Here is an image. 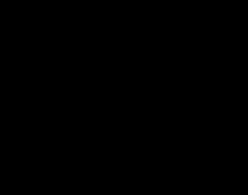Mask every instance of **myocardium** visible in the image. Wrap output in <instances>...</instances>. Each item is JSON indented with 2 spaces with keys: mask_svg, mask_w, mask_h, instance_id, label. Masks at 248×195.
I'll return each mask as SVG.
<instances>
[{
  "mask_svg": "<svg viewBox=\"0 0 248 195\" xmlns=\"http://www.w3.org/2000/svg\"><path fill=\"white\" fill-rule=\"evenodd\" d=\"M176 42V44L179 46L180 50H181V61H180V65L176 71V74L174 76V78L172 79V81L165 87L163 88L161 91L158 92V96L164 95L165 93H167L168 91H170L179 81V79L181 78V75L183 73V70L185 68V61H186V53H185V48L183 46V44L178 41V40H174ZM161 46L158 47V49H156V51L153 53V55L146 61V63L144 64L145 68H149L150 65L152 64L154 57L157 55V52L160 50Z\"/></svg>",
  "mask_w": 248,
  "mask_h": 195,
  "instance_id": "f54148a6",
  "label": "myocardium"
}]
</instances>
